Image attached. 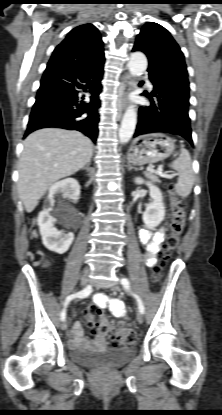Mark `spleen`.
Wrapping results in <instances>:
<instances>
[{"mask_svg": "<svg viewBox=\"0 0 222 415\" xmlns=\"http://www.w3.org/2000/svg\"><path fill=\"white\" fill-rule=\"evenodd\" d=\"M169 166L179 174L178 181L174 186L176 193L180 197L186 198L191 193L194 184V171L189 152L182 148L179 157Z\"/></svg>", "mask_w": 222, "mask_h": 415, "instance_id": "obj_1", "label": "spleen"}]
</instances>
